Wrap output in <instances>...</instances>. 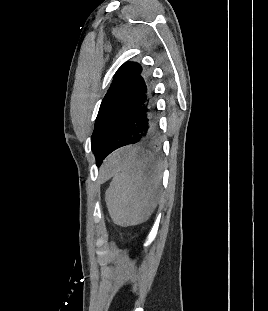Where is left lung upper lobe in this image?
Segmentation results:
<instances>
[{"instance_id":"1","label":"left lung upper lobe","mask_w":268,"mask_h":311,"mask_svg":"<svg viewBox=\"0 0 268 311\" xmlns=\"http://www.w3.org/2000/svg\"><path fill=\"white\" fill-rule=\"evenodd\" d=\"M143 67L138 62H126L115 73L95 121L91 137L92 151L97 166L103 160L105 150L118 127L123 123L121 114L128 106L132 88Z\"/></svg>"}]
</instances>
